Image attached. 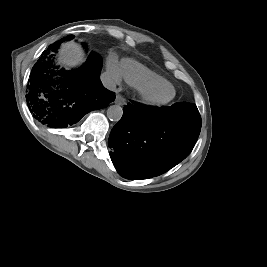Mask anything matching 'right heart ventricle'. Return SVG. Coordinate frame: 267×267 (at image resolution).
Instances as JSON below:
<instances>
[{
    "instance_id": "obj_1",
    "label": "right heart ventricle",
    "mask_w": 267,
    "mask_h": 267,
    "mask_svg": "<svg viewBox=\"0 0 267 267\" xmlns=\"http://www.w3.org/2000/svg\"><path fill=\"white\" fill-rule=\"evenodd\" d=\"M121 69L123 77L133 87L138 88L146 84L168 82L159 74L130 59L122 61Z\"/></svg>"
}]
</instances>
